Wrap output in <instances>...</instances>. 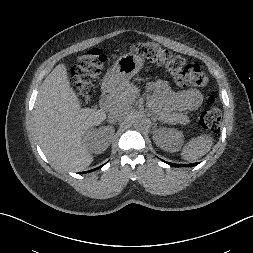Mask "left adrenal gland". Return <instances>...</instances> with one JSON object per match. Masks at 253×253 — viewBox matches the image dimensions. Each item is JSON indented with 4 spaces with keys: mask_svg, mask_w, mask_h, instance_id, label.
Wrapping results in <instances>:
<instances>
[{
    "mask_svg": "<svg viewBox=\"0 0 253 253\" xmlns=\"http://www.w3.org/2000/svg\"><path fill=\"white\" fill-rule=\"evenodd\" d=\"M156 120H157V119L155 118V119H154V122H156Z\"/></svg>",
    "mask_w": 253,
    "mask_h": 253,
    "instance_id": "left-adrenal-gland-1",
    "label": "left adrenal gland"
}]
</instances>
